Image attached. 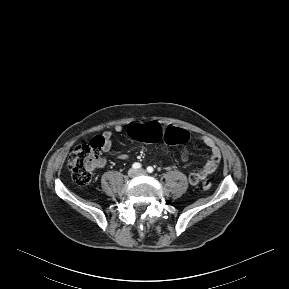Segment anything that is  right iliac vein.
Instances as JSON below:
<instances>
[{"label":"right iliac vein","instance_id":"63e3f726","mask_svg":"<svg viewBox=\"0 0 289 289\" xmlns=\"http://www.w3.org/2000/svg\"><path fill=\"white\" fill-rule=\"evenodd\" d=\"M128 175H129V177L133 178L137 175V171L135 169H130L128 171Z\"/></svg>","mask_w":289,"mask_h":289}]
</instances>
